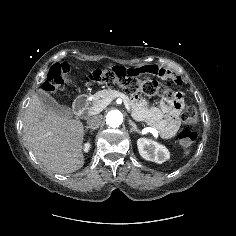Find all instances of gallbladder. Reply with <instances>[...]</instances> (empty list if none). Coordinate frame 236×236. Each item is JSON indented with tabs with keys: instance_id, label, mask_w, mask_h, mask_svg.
Wrapping results in <instances>:
<instances>
[{
	"instance_id": "1",
	"label": "gallbladder",
	"mask_w": 236,
	"mask_h": 236,
	"mask_svg": "<svg viewBox=\"0 0 236 236\" xmlns=\"http://www.w3.org/2000/svg\"><path fill=\"white\" fill-rule=\"evenodd\" d=\"M39 100L43 103V105L57 113L60 116L63 117H71L72 116V111L69 107L65 106V105H61L59 104L50 94H48L46 91L44 90H38L36 92Z\"/></svg>"
}]
</instances>
